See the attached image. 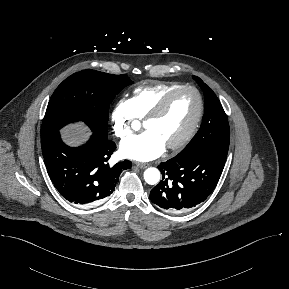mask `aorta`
I'll return each mask as SVG.
<instances>
[{"instance_id": "aorta-1", "label": "aorta", "mask_w": 289, "mask_h": 289, "mask_svg": "<svg viewBox=\"0 0 289 289\" xmlns=\"http://www.w3.org/2000/svg\"><path fill=\"white\" fill-rule=\"evenodd\" d=\"M144 179L146 183L155 185L160 181V171L154 167L148 168L144 172Z\"/></svg>"}]
</instances>
